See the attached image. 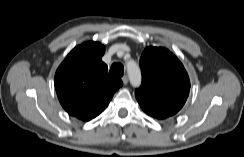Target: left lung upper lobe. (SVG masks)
Masks as SVG:
<instances>
[{
	"label": "left lung upper lobe",
	"instance_id": "1",
	"mask_svg": "<svg viewBox=\"0 0 244 157\" xmlns=\"http://www.w3.org/2000/svg\"><path fill=\"white\" fill-rule=\"evenodd\" d=\"M142 84L135 96L150 116L165 119L185 104L190 91L188 74L178 58L166 48L147 47L140 58Z\"/></svg>",
	"mask_w": 244,
	"mask_h": 157
}]
</instances>
